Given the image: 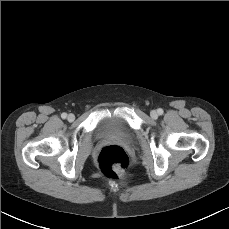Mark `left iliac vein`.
Instances as JSON below:
<instances>
[{"label": "left iliac vein", "instance_id": "4c4485c4", "mask_svg": "<svg viewBox=\"0 0 229 229\" xmlns=\"http://www.w3.org/2000/svg\"><path fill=\"white\" fill-rule=\"evenodd\" d=\"M150 115H151V117L153 119H156L158 117V114H157V112L155 110H152L151 113H150Z\"/></svg>", "mask_w": 229, "mask_h": 229}]
</instances>
